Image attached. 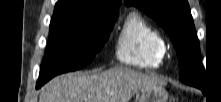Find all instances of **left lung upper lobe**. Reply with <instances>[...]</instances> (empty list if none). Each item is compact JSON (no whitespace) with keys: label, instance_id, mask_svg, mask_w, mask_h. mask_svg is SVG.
I'll return each mask as SVG.
<instances>
[{"label":"left lung upper lobe","instance_id":"5c2ea615","mask_svg":"<svg viewBox=\"0 0 221 102\" xmlns=\"http://www.w3.org/2000/svg\"><path fill=\"white\" fill-rule=\"evenodd\" d=\"M125 3L144 11L169 33L179 61L180 80L203 90L206 75L199 61V40L187 0H125Z\"/></svg>","mask_w":221,"mask_h":102}]
</instances>
